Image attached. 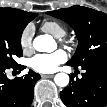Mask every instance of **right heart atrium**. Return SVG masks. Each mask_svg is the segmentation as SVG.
I'll return each instance as SVG.
<instances>
[{
    "mask_svg": "<svg viewBox=\"0 0 107 107\" xmlns=\"http://www.w3.org/2000/svg\"><path fill=\"white\" fill-rule=\"evenodd\" d=\"M34 35V28L32 25H28L24 28L20 36V45L24 51L32 50V40Z\"/></svg>",
    "mask_w": 107,
    "mask_h": 107,
    "instance_id": "obj_1",
    "label": "right heart atrium"
}]
</instances>
